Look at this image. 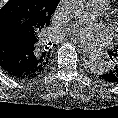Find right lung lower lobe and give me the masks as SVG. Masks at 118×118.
<instances>
[{"instance_id":"98d812e1","label":"right lung lower lobe","mask_w":118,"mask_h":118,"mask_svg":"<svg viewBox=\"0 0 118 118\" xmlns=\"http://www.w3.org/2000/svg\"><path fill=\"white\" fill-rule=\"evenodd\" d=\"M37 45L23 29H0V69L17 80L32 79L36 71Z\"/></svg>"}]
</instances>
